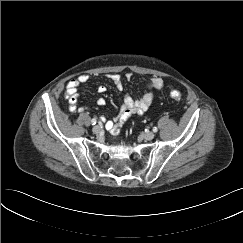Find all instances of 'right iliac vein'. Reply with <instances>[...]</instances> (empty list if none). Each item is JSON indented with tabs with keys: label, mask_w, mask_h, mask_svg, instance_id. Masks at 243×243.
I'll use <instances>...</instances> for the list:
<instances>
[{
	"label": "right iliac vein",
	"mask_w": 243,
	"mask_h": 243,
	"mask_svg": "<svg viewBox=\"0 0 243 243\" xmlns=\"http://www.w3.org/2000/svg\"><path fill=\"white\" fill-rule=\"evenodd\" d=\"M92 131L94 134L98 135L101 132V128L97 125L93 127Z\"/></svg>",
	"instance_id": "right-iliac-vein-1"
}]
</instances>
